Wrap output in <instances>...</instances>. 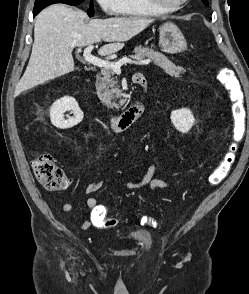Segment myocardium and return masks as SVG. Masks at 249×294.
Segmentation results:
<instances>
[{"label": "myocardium", "instance_id": "myocardium-1", "mask_svg": "<svg viewBox=\"0 0 249 294\" xmlns=\"http://www.w3.org/2000/svg\"><path fill=\"white\" fill-rule=\"evenodd\" d=\"M147 3L158 10L161 14L173 13L183 8L190 0H183L180 4L175 6H166L160 0H146Z\"/></svg>", "mask_w": 249, "mask_h": 294}]
</instances>
